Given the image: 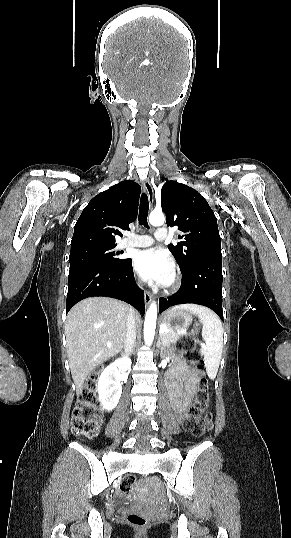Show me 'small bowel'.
I'll list each match as a JSON object with an SVG mask.
<instances>
[{
	"mask_svg": "<svg viewBox=\"0 0 291 538\" xmlns=\"http://www.w3.org/2000/svg\"><path fill=\"white\" fill-rule=\"evenodd\" d=\"M197 383L196 372L184 362L177 361L168 376L170 397L177 413L181 414L184 403L192 400Z\"/></svg>",
	"mask_w": 291,
	"mask_h": 538,
	"instance_id": "c3829d8e",
	"label": "small bowel"
}]
</instances>
